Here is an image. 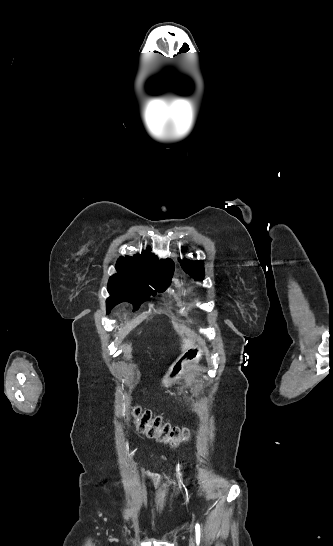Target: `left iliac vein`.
Here are the masks:
<instances>
[{"mask_svg": "<svg viewBox=\"0 0 333 546\" xmlns=\"http://www.w3.org/2000/svg\"><path fill=\"white\" fill-rule=\"evenodd\" d=\"M190 546H194V543H193V538H191V541H190Z\"/></svg>", "mask_w": 333, "mask_h": 546, "instance_id": "4c4485c4", "label": "left iliac vein"}]
</instances>
